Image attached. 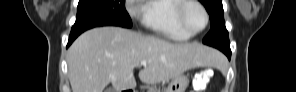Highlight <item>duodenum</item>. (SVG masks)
<instances>
[{
  "instance_id": "1",
  "label": "duodenum",
  "mask_w": 296,
  "mask_h": 92,
  "mask_svg": "<svg viewBox=\"0 0 296 92\" xmlns=\"http://www.w3.org/2000/svg\"><path fill=\"white\" fill-rule=\"evenodd\" d=\"M125 92H134L133 89H128V90H125Z\"/></svg>"
}]
</instances>
